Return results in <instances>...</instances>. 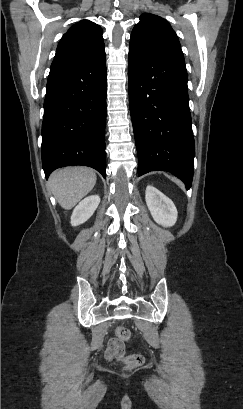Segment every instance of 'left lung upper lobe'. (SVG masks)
Wrapping results in <instances>:
<instances>
[{
    "label": "left lung upper lobe",
    "mask_w": 243,
    "mask_h": 409,
    "mask_svg": "<svg viewBox=\"0 0 243 409\" xmlns=\"http://www.w3.org/2000/svg\"><path fill=\"white\" fill-rule=\"evenodd\" d=\"M169 49L181 50L170 24L160 16L143 13L131 33L129 52L145 56Z\"/></svg>",
    "instance_id": "obj_1"
}]
</instances>
